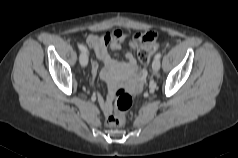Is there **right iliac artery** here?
<instances>
[{
  "instance_id": "right-iliac-artery-1",
  "label": "right iliac artery",
  "mask_w": 238,
  "mask_h": 158,
  "mask_svg": "<svg viewBox=\"0 0 238 158\" xmlns=\"http://www.w3.org/2000/svg\"><path fill=\"white\" fill-rule=\"evenodd\" d=\"M78 48L83 52H87V48L82 44H78Z\"/></svg>"
}]
</instances>
